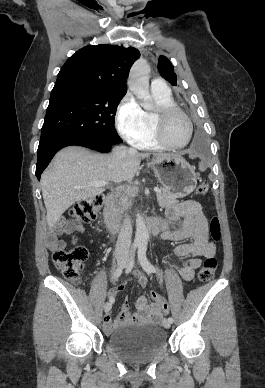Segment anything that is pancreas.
<instances>
[{
  "mask_svg": "<svg viewBox=\"0 0 265 388\" xmlns=\"http://www.w3.org/2000/svg\"><path fill=\"white\" fill-rule=\"evenodd\" d=\"M162 192L157 194V202L158 206L161 208H167V206H172V204H178V200H176L177 196L175 194H171V192H166L161 188ZM132 198H134L133 194H127L125 198H122V202H119V208L121 214H124L125 210H128L130 206H132Z\"/></svg>",
  "mask_w": 265,
  "mask_h": 388,
  "instance_id": "obj_1",
  "label": "pancreas"
}]
</instances>
